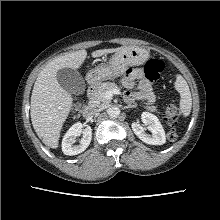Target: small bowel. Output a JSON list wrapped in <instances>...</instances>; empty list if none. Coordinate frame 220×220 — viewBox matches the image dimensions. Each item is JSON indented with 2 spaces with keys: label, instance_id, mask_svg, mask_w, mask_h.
Instances as JSON below:
<instances>
[{
  "label": "small bowel",
  "instance_id": "1",
  "mask_svg": "<svg viewBox=\"0 0 220 220\" xmlns=\"http://www.w3.org/2000/svg\"><path fill=\"white\" fill-rule=\"evenodd\" d=\"M122 83L127 88H132L136 85L137 96L148 102H153V94L150 82L143 76L140 69H128L122 79ZM127 100H133L134 95L130 92L126 93Z\"/></svg>",
  "mask_w": 220,
  "mask_h": 220
}]
</instances>
